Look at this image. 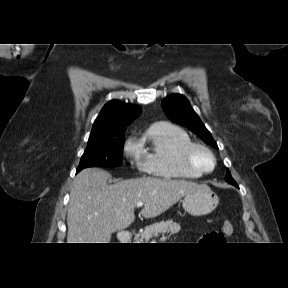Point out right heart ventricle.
<instances>
[{"instance_id": "1", "label": "right heart ventricle", "mask_w": 288, "mask_h": 288, "mask_svg": "<svg viewBox=\"0 0 288 288\" xmlns=\"http://www.w3.org/2000/svg\"><path fill=\"white\" fill-rule=\"evenodd\" d=\"M187 132L168 122L150 125L138 140L142 168L166 179H197L202 175L186 167L183 150L191 143Z\"/></svg>"}]
</instances>
